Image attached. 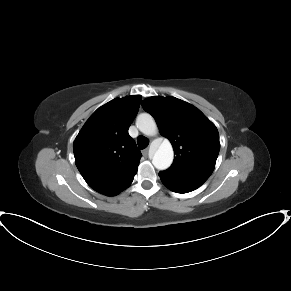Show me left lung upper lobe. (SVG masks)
<instances>
[{
	"mask_svg": "<svg viewBox=\"0 0 291 291\" xmlns=\"http://www.w3.org/2000/svg\"><path fill=\"white\" fill-rule=\"evenodd\" d=\"M142 106L155 118L176 154L171 167L162 172L204 183L214 170L220 150L215 125L199 109L175 97H149Z\"/></svg>",
	"mask_w": 291,
	"mask_h": 291,
	"instance_id": "5c2ea615",
	"label": "left lung upper lobe"
}]
</instances>
